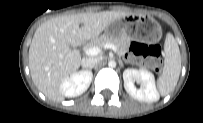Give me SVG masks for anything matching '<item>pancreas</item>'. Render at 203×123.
<instances>
[{
  "mask_svg": "<svg viewBox=\"0 0 203 123\" xmlns=\"http://www.w3.org/2000/svg\"><path fill=\"white\" fill-rule=\"evenodd\" d=\"M105 43H112L117 47L118 53L124 54L129 48V40L124 35L112 36L103 34L93 40V45L101 47Z\"/></svg>",
  "mask_w": 203,
  "mask_h": 123,
  "instance_id": "obj_1",
  "label": "pancreas"
}]
</instances>
